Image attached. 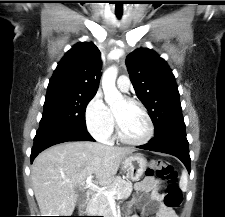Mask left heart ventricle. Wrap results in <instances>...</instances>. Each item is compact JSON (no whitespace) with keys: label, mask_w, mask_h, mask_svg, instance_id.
I'll return each mask as SVG.
<instances>
[{"label":"left heart ventricle","mask_w":225,"mask_h":217,"mask_svg":"<svg viewBox=\"0 0 225 217\" xmlns=\"http://www.w3.org/2000/svg\"><path fill=\"white\" fill-rule=\"evenodd\" d=\"M113 112L126 138L140 140L146 135L147 121L139 107L127 103L122 98L113 106Z\"/></svg>","instance_id":"b2bd125f"}]
</instances>
